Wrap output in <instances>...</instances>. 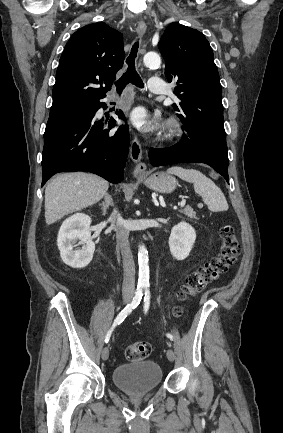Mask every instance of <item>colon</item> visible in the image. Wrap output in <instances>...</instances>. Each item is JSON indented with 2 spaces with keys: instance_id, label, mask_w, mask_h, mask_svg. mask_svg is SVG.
Segmentation results:
<instances>
[{
  "instance_id": "1",
  "label": "colon",
  "mask_w": 283,
  "mask_h": 433,
  "mask_svg": "<svg viewBox=\"0 0 283 433\" xmlns=\"http://www.w3.org/2000/svg\"><path fill=\"white\" fill-rule=\"evenodd\" d=\"M219 235L221 238L219 253L190 274L181 286L177 294L180 304L175 308L177 316L184 313L183 304L185 302L225 273L236 261L240 252V245L234 228L230 225H224L220 228ZM151 350V345L147 342H134L127 346L125 355L131 361H140L146 359L151 354Z\"/></svg>"
}]
</instances>
